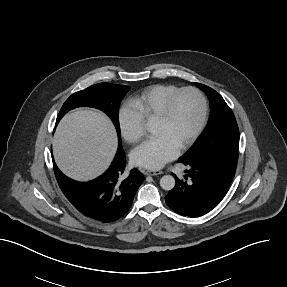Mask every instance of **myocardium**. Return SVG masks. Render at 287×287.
Here are the masks:
<instances>
[{
	"instance_id": "1",
	"label": "myocardium",
	"mask_w": 287,
	"mask_h": 287,
	"mask_svg": "<svg viewBox=\"0 0 287 287\" xmlns=\"http://www.w3.org/2000/svg\"><path fill=\"white\" fill-rule=\"evenodd\" d=\"M185 93H193L194 95L197 96L200 103L201 114L196 128L193 130L188 139L179 147L180 151H184L188 149L190 146H192L206 126L208 119V103L203 92L195 87H185L177 90L166 100L161 112L155 118V122L160 123L167 122L171 116L172 109L176 100Z\"/></svg>"
}]
</instances>
